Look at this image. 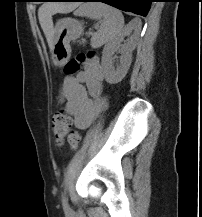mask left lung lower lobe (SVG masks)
<instances>
[{"label":"left lung lower lobe","mask_w":202,"mask_h":217,"mask_svg":"<svg viewBox=\"0 0 202 217\" xmlns=\"http://www.w3.org/2000/svg\"><path fill=\"white\" fill-rule=\"evenodd\" d=\"M46 1H72V2H103L120 10L130 11L135 14L146 16L151 2L154 0H46Z\"/></svg>","instance_id":"1"}]
</instances>
